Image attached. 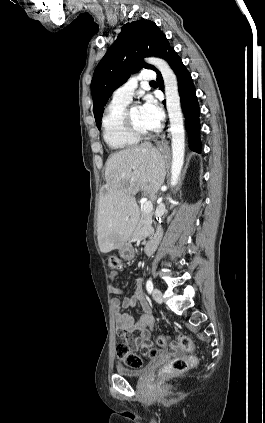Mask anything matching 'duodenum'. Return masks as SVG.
<instances>
[{
  "mask_svg": "<svg viewBox=\"0 0 265 423\" xmlns=\"http://www.w3.org/2000/svg\"><path fill=\"white\" fill-rule=\"evenodd\" d=\"M159 237H160V230H157L155 233V236L152 239L147 241L144 247V254L146 256H152L154 254L158 241H159Z\"/></svg>",
  "mask_w": 265,
  "mask_h": 423,
  "instance_id": "obj_1",
  "label": "duodenum"
}]
</instances>
